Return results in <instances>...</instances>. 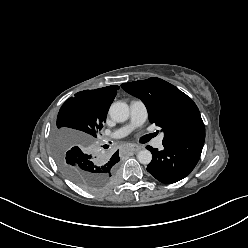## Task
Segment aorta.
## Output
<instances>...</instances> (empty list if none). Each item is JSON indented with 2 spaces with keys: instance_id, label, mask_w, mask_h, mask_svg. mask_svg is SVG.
Returning a JSON list of instances; mask_svg holds the SVG:
<instances>
[{
  "instance_id": "obj_1",
  "label": "aorta",
  "mask_w": 248,
  "mask_h": 248,
  "mask_svg": "<svg viewBox=\"0 0 248 248\" xmlns=\"http://www.w3.org/2000/svg\"><path fill=\"white\" fill-rule=\"evenodd\" d=\"M111 118L116 122H125L129 118V106L125 102H114L109 109ZM137 159L141 164L147 165L152 160V154L149 150H141L137 154Z\"/></svg>"
}]
</instances>
